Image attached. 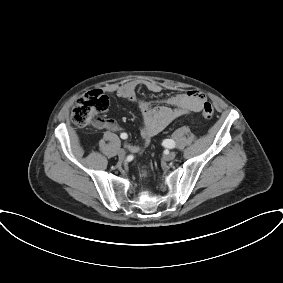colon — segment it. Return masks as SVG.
I'll list each match as a JSON object with an SVG mask.
<instances>
[{"label": "colon", "mask_w": 283, "mask_h": 283, "mask_svg": "<svg viewBox=\"0 0 283 283\" xmlns=\"http://www.w3.org/2000/svg\"><path fill=\"white\" fill-rule=\"evenodd\" d=\"M109 106L108 97L100 91L94 90L80 96L74 103L71 110V119L78 127H83L91 123L101 124V116L107 111ZM204 118H211L214 108L209 102L202 105L201 110Z\"/></svg>", "instance_id": "obj_1"}]
</instances>
